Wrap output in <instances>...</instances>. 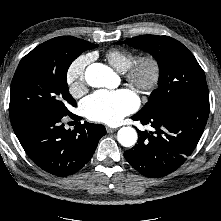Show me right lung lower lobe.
<instances>
[{
	"mask_svg": "<svg viewBox=\"0 0 221 221\" xmlns=\"http://www.w3.org/2000/svg\"><path fill=\"white\" fill-rule=\"evenodd\" d=\"M62 117L35 115L11 122L27 155L44 171L65 177L79 171L92 157L106 129L101 124H78L66 130Z\"/></svg>",
	"mask_w": 221,
	"mask_h": 221,
	"instance_id": "98d812e1",
	"label": "right lung lower lobe"
}]
</instances>
